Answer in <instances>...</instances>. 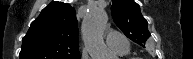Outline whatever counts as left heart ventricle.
Returning a JSON list of instances; mask_svg holds the SVG:
<instances>
[{"label":"left heart ventricle","mask_w":193,"mask_h":59,"mask_svg":"<svg viewBox=\"0 0 193 59\" xmlns=\"http://www.w3.org/2000/svg\"><path fill=\"white\" fill-rule=\"evenodd\" d=\"M110 51H112V52H116L115 50H113V49H109Z\"/></svg>","instance_id":"obj_1"}]
</instances>
